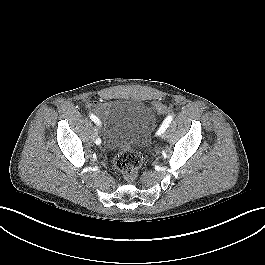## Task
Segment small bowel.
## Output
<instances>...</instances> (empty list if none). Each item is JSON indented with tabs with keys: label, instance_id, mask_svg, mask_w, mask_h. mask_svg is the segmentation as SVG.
Masks as SVG:
<instances>
[{
	"label": "small bowel",
	"instance_id": "c3829d8e",
	"mask_svg": "<svg viewBox=\"0 0 265 265\" xmlns=\"http://www.w3.org/2000/svg\"><path fill=\"white\" fill-rule=\"evenodd\" d=\"M87 107L90 109H93L97 112H100V111L104 110L107 107V105L104 103L95 101V100H90L87 103Z\"/></svg>",
	"mask_w": 265,
	"mask_h": 265
}]
</instances>
